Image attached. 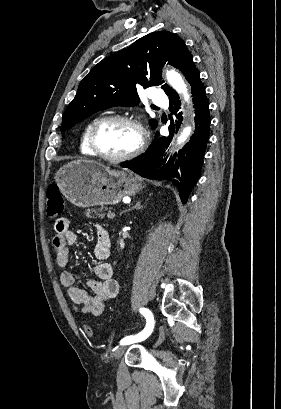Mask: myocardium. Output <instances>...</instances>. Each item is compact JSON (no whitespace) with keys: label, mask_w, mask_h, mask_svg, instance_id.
I'll return each instance as SVG.
<instances>
[{"label":"myocardium","mask_w":281,"mask_h":409,"mask_svg":"<svg viewBox=\"0 0 281 409\" xmlns=\"http://www.w3.org/2000/svg\"><path fill=\"white\" fill-rule=\"evenodd\" d=\"M110 122H124L133 126L137 130L139 134V143L132 151L117 157L108 156L100 151L98 146L99 132L104 125ZM146 141H147L146 131L140 124V122H138L136 119H133L132 117L125 115H109L99 119L95 124L91 134V146L94 154L100 159L111 163L126 162L139 156L145 149Z\"/></svg>","instance_id":"myocardium-1"}]
</instances>
